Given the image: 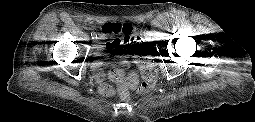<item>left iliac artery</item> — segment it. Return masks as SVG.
I'll return each mask as SVG.
<instances>
[{
	"mask_svg": "<svg viewBox=\"0 0 255 122\" xmlns=\"http://www.w3.org/2000/svg\"><path fill=\"white\" fill-rule=\"evenodd\" d=\"M146 35L149 37L151 36V33L150 32H147ZM150 40V39H149Z\"/></svg>",
	"mask_w": 255,
	"mask_h": 122,
	"instance_id": "obj_1",
	"label": "left iliac artery"
}]
</instances>
